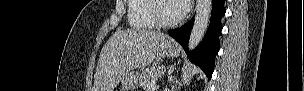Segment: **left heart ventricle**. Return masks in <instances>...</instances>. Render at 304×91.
<instances>
[{"mask_svg": "<svg viewBox=\"0 0 304 91\" xmlns=\"http://www.w3.org/2000/svg\"><path fill=\"white\" fill-rule=\"evenodd\" d=\"M182 14L178 1H162L159 4V15L166 21L175 20Z\"/></svg>", "mask_w": 304, "mask_h": 91, "instance_id": "b2bd125f", "label": "left heart ventricle"}]
</instances>
